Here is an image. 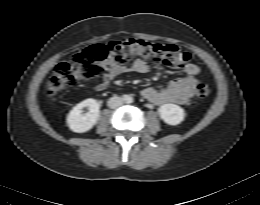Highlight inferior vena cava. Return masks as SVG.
Here are the masks:
<instances>
[{"label":"inferior vena cava","instance_id":"602c4592","mask_svg":"<svg viewBox=\"0 0 260 205\" xmlns=\"http://www.w3.org/2000/svg\"><path fill=\"white\" fill-rule=\"evenodd\" d=\"M122 104H123V100L121 97H118V96H113L108 101V106L111 109L117 108V107L121 106Z\"/></svg>","mask_w":260,"mask_h":205}]
</instances>
